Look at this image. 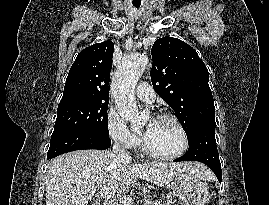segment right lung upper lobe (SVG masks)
I'll return each instance as SVG.
<instances>
[{
  "label": "right lung upper lobe",
  "mask_w": 269,
  "mask_h": 205,
  "mask_svg": "<svg viewBox=\"0 0 269 205\" xmlns=\"http://www.w3.org/2000/svg\"><path fill=\"white\" fill-rule=\"evenodd\" d=\"M113 51L114 44L111 41L97 43L82 50L70 68L58 106L108 102Z\"/></svg>",
  "instance_id": "right-lung-upper-lobe-1"
}]
</instances>
